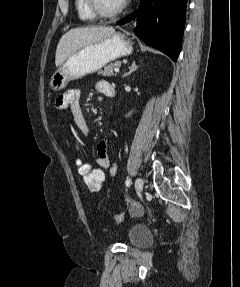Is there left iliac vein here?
<instances>
[{
    "label": "left iliac vein",
    "mask_w": 240,
    "mask_h": 287,
    "mask_svg": "<svg viewBox=\"0 0 240 287\" xmlns=\"http://www.w3.org/2000/svg\"><path fill=\"white\" fill-rule=\"evenodd\" d=\"M135 190H136L137 194H141V192L143 190V180L141 178H137L135 180Z\"/></svg>",
    "instance_id": "4c4485c4"
}]
</instances>
